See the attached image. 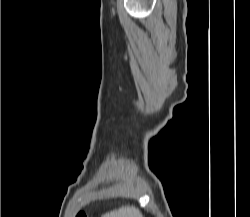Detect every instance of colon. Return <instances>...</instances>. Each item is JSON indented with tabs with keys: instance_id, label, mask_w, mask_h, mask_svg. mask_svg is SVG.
Here are the masks:
<instances>
[{
	"instance_id": "obj_1",
	"label": "colon",
	"mask_w": 250,
	"mask_h": 217,
	"mask_svg": "<svg viewBox=\"0 0 250 217\" xmlns=\"http://www.w3.org/2000/svg\"><path fill=\"white\" fill-rule=\"evenodd\" d=\"M76 217H87V215L84 212H78Z\"/></svg>"
}]
</instances>
